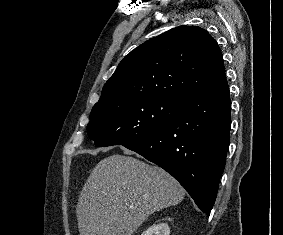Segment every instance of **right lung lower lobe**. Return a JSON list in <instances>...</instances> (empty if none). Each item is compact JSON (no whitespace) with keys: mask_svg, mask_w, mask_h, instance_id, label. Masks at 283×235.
<instances>
[{"mask_svg":"<svg viewBox=\"0 0 283 235\" xmlns=\"http://www.w3.org/2000/svg\"><path fill=\"white\" fill-rule=\"evenodd\" d=\"M230 111L225 82L182 99L164 127L123 146L171 174L209 215L229 148Z\"/></svg>","mask_w":283,"mask_h":235,"instance_id":"obj_1","label":"right lung lower lobe"}]
</instances>
